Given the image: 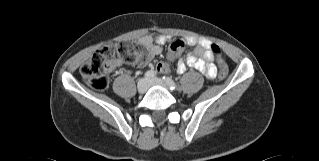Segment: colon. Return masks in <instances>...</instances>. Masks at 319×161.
Wrapping results in <instances>:
<instances>
[{"mask_svg": "<svg viewBox=\"0 0 319 161\" xmlns=\"http://www.w3.org/2000/svg\"><path fill=\"white\" fill-rule=\"evenodd\" d=\"M185 47L183 42H177L170 46L174 52H180ZM213 52L220 58V49L213 45ZM116 58H120L126 63L146 64L148 62V51L141 45L132 41L112 42L108 46L94 53L91 58L85 62L80 75L83 81L95 90H104L109 84V71L113 68ZM162 66V65H161ZM227 77V70L224 66L219 70L218 78L224 80Z\"/></svg>", "mask_w": 319, "mask_h": 161, "instance_id": "obj_1", "label": "colon"}]
</instances>
